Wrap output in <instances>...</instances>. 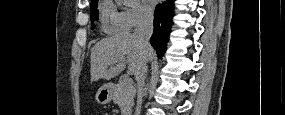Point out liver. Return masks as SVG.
I'll use <instances>...</instances> for the list:
<instances>
[{
    "label": "liver",
    "mask_w": 285,
    "mask_h": 115,
    "mask_svg": "<svg viewBox=\"0 0 285 115\" xmlns=\"http://www.w3.org/2000/svg\"><path fill=\"white\" fill-rule=\"evenodd\" d=\"M154 56L153 48L147 51V60ZM143 58L142 48L133 34L121 32L99 41L91 50V81L110 80L118 76L128 64V73L138 70Z\"/></svg>",
    "instance_id": "1"
}]
</instances>
